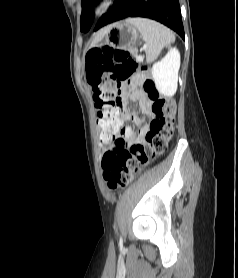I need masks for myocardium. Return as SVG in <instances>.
Segmentation results:
<instances>
[{
	"label": "myocardium",
	"instance_id": "f54148a6",
	"mask_svg": "<svg viewBox=\"0 0 238 278\" xmlns=\"http://www.w3.org/2000/svg\"><path fill=\"white\" fill-rule=\"evenodd\" d=\"M115 1L116 0H97L91 9L92 15L94 17L103 16L111 9Z\"/></svg>",
	"mask_w": 238,
	"mask_h": 278
}]
</instances>
